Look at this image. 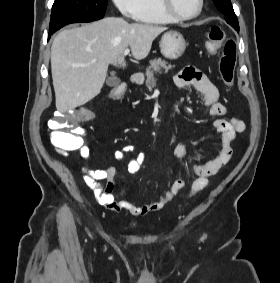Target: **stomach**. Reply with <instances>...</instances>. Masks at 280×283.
I'll use <instances>...</instances> for the list:
<instances>
[{"label": "stomach", "instance_id": "obj_1", "mask_svg": "<svg viewBox=\"0 0 280 283\" xmlns=\"http://www.w3.org/2000/svg\"><path fill=\"white\" fill-rule=\"evenodd\" d=\"M187 43L183 35L178 31L166 32L160 40V51L162 55L170 60L180 58L185 52Z\"/></svg>", "mask_w": 280, "mask_h": 283}]
</instances>
